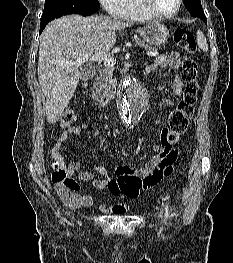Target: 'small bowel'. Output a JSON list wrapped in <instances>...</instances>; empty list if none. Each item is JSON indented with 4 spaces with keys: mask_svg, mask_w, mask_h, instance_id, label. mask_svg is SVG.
Instances as JSON below:
<instances>
[{
    "mask_svg": "<svg viewBox=\"0 0 233 263\" xmlns=\"http://www.w3.org/2000/svg\"><path fill=\"white\" fill-rule=\"evenodd\" d=\"M181 57L178 53L159 56L155 62L146 69V72L156 71L163 68H170L174 71L179 69ZM184 83L178 73L173 77L172 90L175 95L180 96L183 92ZM84 126H74L66 129L58 138L56 144L51 150V155L55 163H57L68 175L72 177L79 169V162L66 163L62 153L63 146L70 135L80 134ZM164 130L161 134V142L163 143ZM172 150V149H171ZM177 156V151L174 150ZM166 154L160 153L153 156L149 162L143 167L137 166H119L115 169L116 176H111L108 170L103 166H93L88 171H82L78 174L81 182L90 184L94 188L99 189L103 193H109L123 202L116 205L99 204L98 209L103 213L123 214L127 210L125 201L136 199L140 192L154 185L144 182L145 176L151 174L165 159ZM99 173L102 177L96 178L95 174ZM57 192L67 201L83 207L93 205V198L90 195H80L77 189H65L62 183H55Z\"/></svg>",
    "mask_w": 233,
    "mask_h": 263,
    "instance_id": "c3829d8e",
    "label": "small bowel"
}]
</instances>
